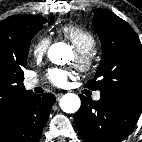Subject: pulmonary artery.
<instances>
[{
    "label": "pulmonary artery",
    "instance_id": "pulmonary-artery-1",
    "mask_svg": "<svg viewBox=\"0 0 142 142\" xmlns=\"http://www.w3.org/2000/svg\"><path fill=\"white\" fill-rule=\"evenodd\" d=\"M38 84H39V81L37 79H35V78H28L24 82L25 88L28 89V90L35 88ZM94 99L99 100L100 99V94L96 93L94 95Z\"/></svg>",
    "mask_w": 142,
    "mask_h": 142
}]
</instances>
